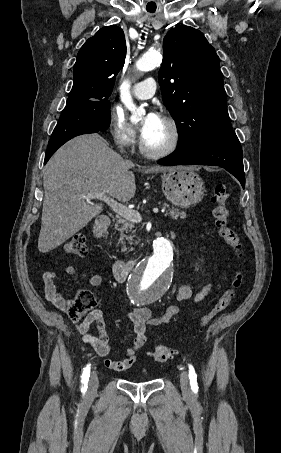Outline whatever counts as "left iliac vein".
Listing matches in <instances>:
<instances>
[{
  "label": "left iliac vein",
  "instance_id": "left-iliac-vein-1",
  "mask_svg": "<svg viewBox=\"0 0 281 453\" xmlns=\"http://www.w3.org/2000/svg\"><path fill=\"white\" fill-rule=\"evenodd\" d=\"M180 383H181V388L183 390L184 395H191L192 390L190 387V380H189V374L187 371H182L180 374Z\"/></svg>",
  "mask_w": 281,
  "mask_h": 453
}]
</instances>
